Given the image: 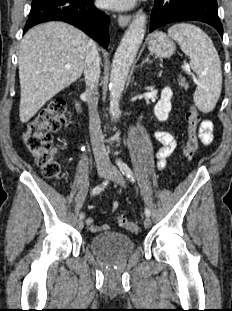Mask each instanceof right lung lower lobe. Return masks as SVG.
<instances>
[{
  "mask_svg": "<svg viewBox=\"0 0 232 311\" xmlns=\"http://www.w3.org/2000/svg\"><path fill=\"white\" fill-rule=\"evenodd\" d=\"M47 21H64L81 29L107 49L109 17L98 10L93 0H33L24 33Z\"/></svg>",
  "mask_w": 232,
  "mask_h": 311,
  "instance_id": "obj_1",
  "label": "right lung lower lobe"
}]
</instances>
